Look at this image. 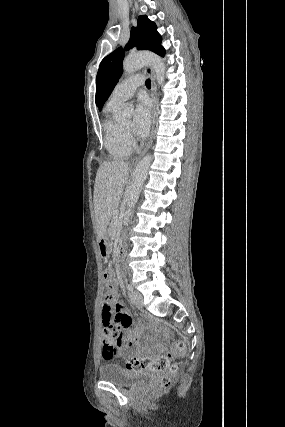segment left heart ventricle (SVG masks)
Masks as SVG:
<instances>
[{"label": "left heart ventricle", "instance_id": "b2bd125f", "mask_svg": "<svg viewBox=\"0 0 285 427\" xmlns=\"http://www.w3.org/2000/svg\"><path fill=\"white\" fill-rule=\"evenodd\" d=\"M123 126L130 129L132 127V120L125 121Z\"/></svg>", "mask_w": 285, "mask_h": 427}]
</instances>
